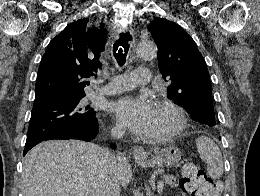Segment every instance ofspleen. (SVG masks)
<instances>
[{"mask_svg": "<svg viewBox=\"0 0 260 196\" xmlns=\"http://www.w3.org/2000/svg\"><path fill=\"white\" fill-rule=\"evenodd\" d=\"M196 148L201 160L207 164L208 176L213 180L222 178L224 172L223 158L217 144L207 136H199L196 140Z\"/></svg>", "mask_w": 260, "mask_h": 196, "instance_id": "1", "label": "spleen"}]
</instances>
